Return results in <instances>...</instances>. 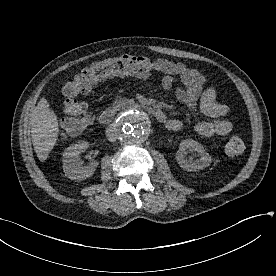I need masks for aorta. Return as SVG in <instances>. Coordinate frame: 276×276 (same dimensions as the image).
Listing matches in <instances>:
<instances>
[{
  "mask_svg": "<svg viewBox=\"0 0 276 276\" xmlns=\"http://www.w3.org/2000/svg\"><path fill=\"white\" fill-rule=\"evenodd\" d=\"M149 132L147 114L138 108H130L121 114L117 123V133L121 142L138 144L143 142Z\"/></svg>",
  "mask_w": 276,
  "mask_h": 276,
  "instance_id": "1",
  "label": "aorta"
}]
</instances>
